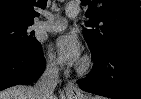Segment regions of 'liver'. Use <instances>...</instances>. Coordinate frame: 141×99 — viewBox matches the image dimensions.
I'll list each match as a JSON object with an SVG mask.
<instances>
[{"instance_id":"6515ba94","label":"liver","mask_w":141,"mask_h":99,"mask_svg":"<svg viewBox=\"0 0 141 99\" xmlns=\"http://www.w3.org/2000/svg\"><path fill=\"white\" fill-rule=\"evenodd\" d=\"M0 99H39L32 86L17 85L0 92ZM53 99L56 97L53 96Z\"/></svg>"}]
</instances>
